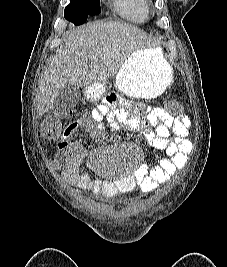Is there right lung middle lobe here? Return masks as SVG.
I'll use <instances>...</instances> for the list:
<instances>
[{
	"label": "right lung middle lobe",
	"instance_id": "dd1d6c3e",
	"mask_svg": "<svg viewBox=\"0 0 227 267\" xmlns=\"http://www.w3.org/2000/svg\"><path fill=\"white\" fill-rule=\"evenodd\" d=\"M101 12L99 0H71L65 8L64 17L80 25L86 22L88 16L98 15Z\"/></svg>",
	"mask_w": 227,
	"mask_h": 267
}]
</instances>
